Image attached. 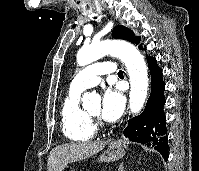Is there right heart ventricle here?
I'll return each instance as SVG.
<instances>
[{
  "label": "right heart ventricle",
  "mask_w": 199,
  "mask_h": 171,
  "mask_svg": "<svg viewBox=\"0 0 199 171\" xmlns=\"http://www.w3.org/2000/svg\"><path fill=\"white\" fill-rule=\"evenodd\" d=\"M81 91L69 88L60 110L62 132L72 141H87L94 135V126L89 114L80 106Z\"/></svg>",
  "instance_id": "right-heart-ventricle-1"
}]
</instances>
